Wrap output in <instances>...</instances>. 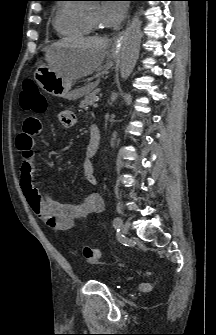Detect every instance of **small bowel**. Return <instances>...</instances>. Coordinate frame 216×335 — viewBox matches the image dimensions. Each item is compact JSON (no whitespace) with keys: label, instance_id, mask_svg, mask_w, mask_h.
Segmentation results:
<instances>
[{"label":"small bowel","instance_id":"small-bowel-1","mask_svg":"<svg viewBox=\"0 0 216 335\" xmlns=\"http://www.w3.org/2000/svg\"><path fill=\"white\" fill-rule=\"evenodd\" d=\"M59 120L66 127L75 123L70 110H62L59 113ZM42 126V120L28 118L24 122L22 133L17 138V147L21 152V188L30 209L45 225L57 231H69L78 220L100 213L104 208V203L98 194H90L78 203H62L51 198L36 182L34 147ZM99 144L100 140L95 141L90 136L86 147L87 159L83 168L85 179L90 185L97 183L90 158L96 154Z\"/></svg>","mask_w":216,"mask_h":335}]
</instances>
